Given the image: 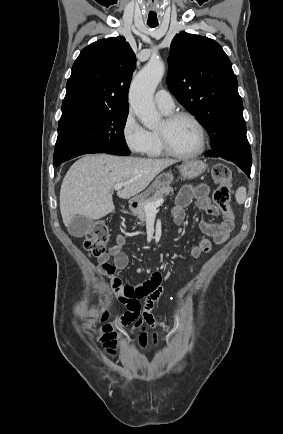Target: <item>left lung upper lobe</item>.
Wrapping results in <instances>:
<instances>
[{
  "label": "left lung upper lobe",
  "mask_w": 283,
  "mask_h": 434,
  "mask_svg": "<svg viewBox=\"0 0 283 434\" xmlns=\"http://www.w3.org/2000/svg\"><path fill=\"white\" fill-rule=\"evenodd\" d=\"M168 62L170 92L210 136L207 156L252 162L237 78L221 45L181 32L171 42Z\"/></svg>",
  "instance_id": "obj_1"
}]
</instances>
